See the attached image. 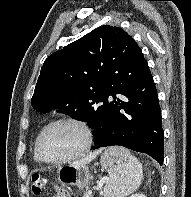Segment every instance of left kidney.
I'll return each mask as SVG.
<instances>
[{
  "label": "left kidney",
  "mask_w": 191,
  "mask_h": 197,
  "mask_svg": "<svg viewBox=\"0 0 191 197\" xmlns=\"http://www.w3.org/2000/svg\"><path fill=\"white\" fill-rule=\"evenodd\" d=\"M130 197H146V196L142 193H135V194H132Z\"/></svg>",
  "instance_id": "left-kidney-1"
}]
</instances>
